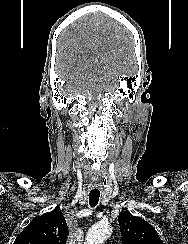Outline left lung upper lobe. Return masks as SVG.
Masks as SVG:
<instances>
[{
	"mask_svg": "<svg viewBox=\"0 0 188 244\" xmlns=\"http://www.w3.org/2000/svg\"><path fill=\"white\" fill-rule=\"evenodd\" d=\"M118 222L124 244H163L154 227L140 217L123 211Z\"/></svg>",
	"mask_w": 188,
	"mask_h": 244,
	"instance_id": "5c2ea615",
	"label": "left lung upper lobe"
}]
</instances>
